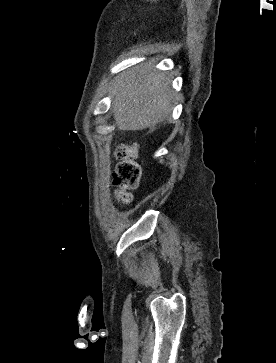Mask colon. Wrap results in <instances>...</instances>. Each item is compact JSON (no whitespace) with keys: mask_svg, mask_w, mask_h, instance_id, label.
Returning <instances> with one entry per match:
<instances>
[{"mask_svg":"<svg viewBox=\"0 0 276 363\" xmlns=\"http://www.w3.org/2000/svg\"><path fill=\"white\" fill-rule=\"evenodd\" d=\"M136 147L121 144L116 150L118 164L113 173V185L116 187V197L122 203L130 202V190L135 189L140 180L141 169L134 161Z\"/></svg>","mask_w":276,"mask_h":363,"instance_id":"colon-1","label":"colon"}]
</instances>
